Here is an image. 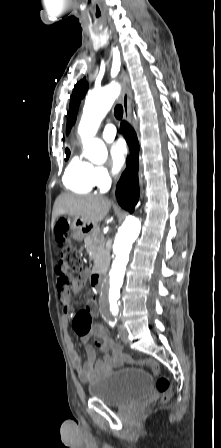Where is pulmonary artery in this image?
<instances>
[{
    "mask_svg": "<svg viewBox=\"0 0 221 448\" xmlns=\"http://www.w3.org/2000/svg\"><path fill=\"white\" fill-rule=\"evenodd\" d=\"M102 137L106 140V141H112L115 138L116 135V128L114 125L112 124H107L102 132Z\"/></svg>",
    "mask_w": 221,
    "mask_h": 448,
    "instance_id": "pulmonary-artery-1",
    "label": "pulmonary artery"
}]
</instances>
